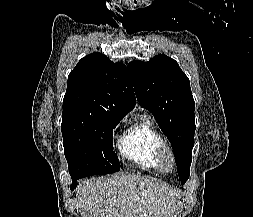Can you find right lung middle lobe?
I'll return each instance as SVG.
<instances>
[{"label": "right lung middle lobe", "instance_id": "dd1d6c3e", "mask_svg": "<svg viewBox=\"0 0 253 217\" xmlns=\"http://www.w3.org/2000/svg\"><path fill=\"white\" fill-rule=\"evenodd\" d=\"M120 120L81 111L63 112V146L72 180L120 170L112 142L113 129Z\"/></svg>", "mask_w": 253, "mask_h": 217}]
</instances>
